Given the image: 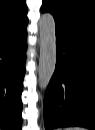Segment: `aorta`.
<instances>
[{
  "instance_id": "obj_1",
  "label": "aorta",
  "mask_w": 95,
  "mask_h": 130,
  "mask_svg": "<svg viewBox=\"0 0 95 130\" xmlns=\"http://www.w3.org/2000/svg\"><path fill=\"white\" fill-rule=\"evenodd\" d=\"M40 57L38 83L41 90H46L56 65V34L54 17L44 13L39 21Z\"/></svg>"
}]
</instances>
